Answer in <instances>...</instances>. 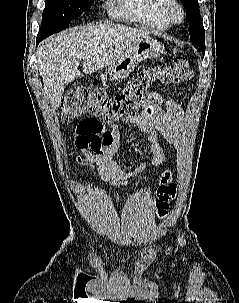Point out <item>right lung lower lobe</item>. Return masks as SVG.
Listing matches in <instances>:
<instances>
[{
	"label": "right lung lower lobe",
	"instance_id": "obj_1",
	"mask_svg": "<svg viewBox=\"0 0 239 303\" xmlns=\"http://www.w3.org/2000/svg\"><path fill=\"white\" fill-rule=\"evenodd\" d=\"M48 37L47 34H42V33H38V36L36 38V41H37V45L39 42H41L44 38Z\"/></svg>",
	"mask_w": 239,
	"mask_h": 303
}]
</instances>
